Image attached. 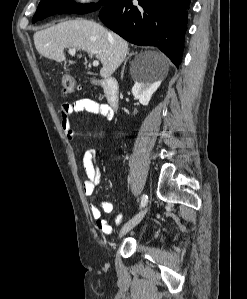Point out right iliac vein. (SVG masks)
<instances>
[{
    "label": "right iliac vein",
    "instance_id": "1",
    "mask_svg": "<svg viewBox=\"0 0 247 299\" xmlns=\"http://www.w3.org/2000/svg\"><path fill=\"white\" fill-rule=\"evenodd\" d=\"M147 212V208L141 210L138 214H136L132 219H130L124 226L121 228L119 237H123L127 234L130 230H132L136 225L140 223Z\"/></svg>",
    "mask_w": 247,
    "mask_h": 299
}]
</instances>
